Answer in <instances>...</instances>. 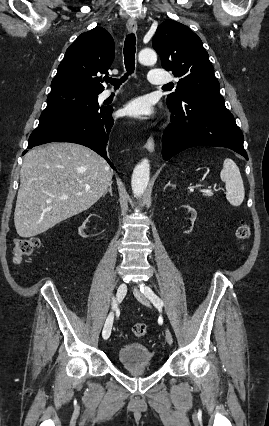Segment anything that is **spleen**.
Instances as JSON below:
<instances>
[{"label":"spleen","instance_id":"1","mask_svg":"<svg viewBox=\"0 0 269 426\" xmlns=\"http://www.w3.org/2000/svg\"><path fill=\"white\" fill-rule=\"evenodd\" d=\"M221 180L226 186V198L232 206H240L244 200L245 191L240 170L236 163L226 158L220 173Z\"/></svg>","mask_w":269,"mask_h":426}]
</instances>
